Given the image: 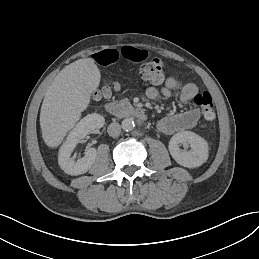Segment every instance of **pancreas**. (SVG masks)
I'll return each mask as SVG.
<instances>
[{
    "label": "pancreas",
    "instance_id": "1",
    "mask_svg": "<svg viewBox=\"0 0 259 259\" xmlns=\"http://www.w3.org/2000/svg\"><path fill=\"white\" fill-rule=\"evenodd\" d=\"M121 101L125 104L126 107H128L130 109L133 108V106L131 105L130 100L128 98H123Z\"/></svg>",
    "mask_w": 259,
    "mask_h": 259
}]
</instances>
